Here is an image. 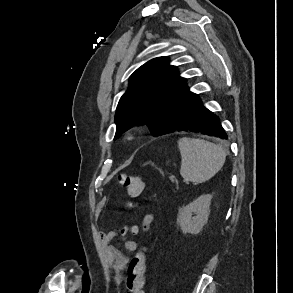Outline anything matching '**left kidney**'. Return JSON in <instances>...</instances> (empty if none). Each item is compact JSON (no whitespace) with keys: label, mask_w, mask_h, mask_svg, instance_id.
<instances>
[{"label":"left kidney","mask_w":293,"mask_h":293,"mask_svg":"<svg viewBox=\"0 0 293 293\" xmlns=\"http://www.w3.org/2000/svg\"><path fill=\"white\" fill-rule=\"evenodd\" d=\"M211 199V194L201 195L179 210L178 224L184 234L196 235L202 230L208 221Z\"/></svg>","instance_id":"obj_1"}]
</instances>
